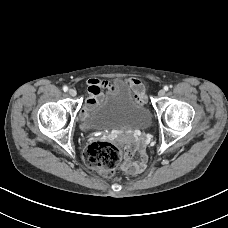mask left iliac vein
I'll return each mask as SVG.
<instances>
[{
	"mask_svg": "<svg viewBox=\"0 0 228 228\" xmlns=\"http://www.w3.org/2000/svg\"><path fill=\"white\" fill-rule=\"evenodd\" d=\"M164 95H165V90H163V89L159 90L158 96H159V97H162V96H164Z\"/></svg>",
	"mask_w": 228,
	"mask_h": 228,
	"instance_id": "left-iliac-vein-1",
	"label": "left iliac vein"
}]
</instances>
